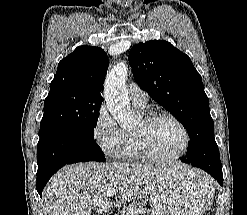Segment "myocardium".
Masks as SVG:
<instances>
[{
  "mask_svg": "<svg viewBox=\"0 0 247 215\" xmlns=\"http://www.w3.org/2000/svg\"><path fill=\"white\" fill-rule=\"evenodd\" d=\"M161 118H168L175 122L179 128L181 129L183 136H184V142H183V147L181 151L177 154L174 155H162L157 153L151 146L148 134L146 131V128L140 131H135V137L137 139L138 145L144 156L150 160L154 161H171V160H176L184 156V154L187 152L190 144V134L189 131L186 127V125L174 114L166 111H160V112H153L148 114L144 119V125L145 127L149 126L153 122H155L158 119Z\"/></svg>",
  "mask_w": 247,
  "mask_h": 215,
  "instance_id": "obj_1",
  "label": "myocardium"
}]
</instances>
